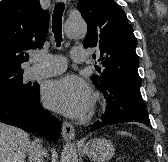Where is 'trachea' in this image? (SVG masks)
I'll return each mask as SVG.
<instances>
[{
	"label": "trachea",
	"mask_w": 168,
	"mask_h": 162,
	"mask_svg": "<svg viewBox=\"0 0 168 162\" xmlns=\"http://www.w3.org/2000/svg\"><path fill=\"white\" fill-rule=\"evenodd\" d=\"M65 9L64 3H57L52 17V31L55 36V41L58 46H60L62 42V15Z\"/></svg>",
	"instance_id": "trachea-1"
}]
</instances>
